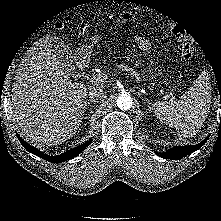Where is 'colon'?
<instances>
[{"instance_id":"1","label":"colon","mask_w":221,"mask_h":221,"mask_svg":"<svg viewBox=\"0 0 221 221\" xmlns=\"http://www.w3.org/2000/svg\"><path fill=\"white\" fill-rule=\"evenodd\" d=\"M64 27V23L60 22L55 25L56 29ZM171 32L179 41V49L181 56L185 60H190L195 54V43L192 38L188 35L185 28L177 23H173L170 26Z\"/></svg>"}]
</instances>
